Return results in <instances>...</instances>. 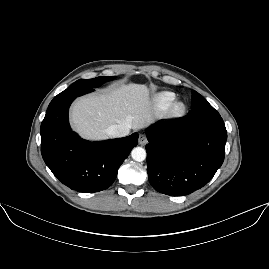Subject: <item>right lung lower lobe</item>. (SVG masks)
<instances>
[{
    "instance_id": "1",
    "label": "right lung lower lobe",
    "mask_w": 269,
    "mask_h": 269,
    "mask_svg": "<svg viewBox=\"0 0 269 269\" xmlns=\"http://www.w3.org/2000/svg\"><path fill=\"white\" fill-rule=\"evenodd\" d=\"M94 91L68 88L54 97L41 124V153L56 178L78 192L93 193L107 189L117 171L137 145L138 133L128 137L90 142L74 133L68 121L72 101Z\"/></svg>"
}]
</instances>
